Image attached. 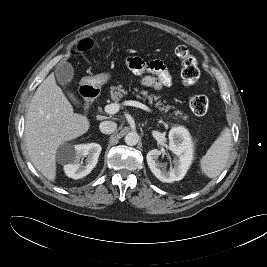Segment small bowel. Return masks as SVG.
Listing matches in <instances>:
<instances>
[{
  "mask_svg": "<svg viewBox=\"0 0 267 267\" xmlns=\"http://www.w3.org/2000/svg\"><path fill=\"white\" fill-rule=\"evenodd\" d=\"M126 64L137 75L149 73L141 79L143 86L161 90L170 87L173 83L170 72L164 63L159 60L146 62L139 57L132 56L127 58Z\"/></svg>",
  "mask_w": 267,
  "mask_h": 267,
  "instance_id": "c3829d8e",
  "label": "small bowel"
}]
</instances>
